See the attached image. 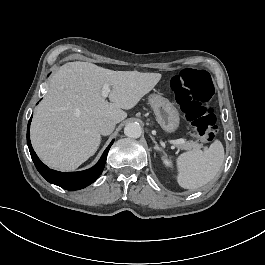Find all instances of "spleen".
<instances>
[{
    "label": "spleen",
    "mask_w": 265,
    "mask_h": 265,
    "mask_svg": "<svg viewBox=\"0 0 265 265\" xmlns=\"http://www.w3.org/2000/svg\"><path fill=\"white\" fill-rule=\"evenodd\" d=\"M224 161V147L215 138L204 151L192 149L179 154L175 161L176 182L187 189L201 187L211 181Z\"/></svg>",
    "instance_id": "obj_1"
}]
</instances>
